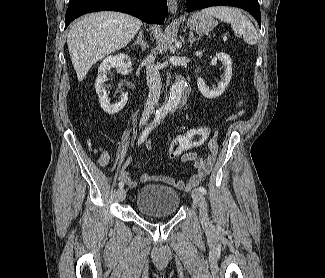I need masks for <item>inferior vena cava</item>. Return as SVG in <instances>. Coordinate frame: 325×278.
<instances>
[{
  "label": "inferior vena cava",
  "mask_w": 325,
  "mask_h": 278,
  "mask_svg": "<svg viewBox=\"0 0 325 278\" xmlns=\"http://www.w3.org/2000/svg\"><path fill=\"white\" fill-rule=\"evenodd\" d=\"M146 78L149 87L148 99L144 106L141 121L146 122L157 105L161 92V77L158 68L154 64V57L148 56L145 60Z\"/></svg>",
  "instance_id": "obj_1"
}]
</instances>
